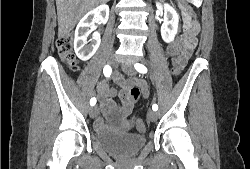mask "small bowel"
Masks as SVG:
<instances>
[{
  "label": "small bowel",
  "instance_id": "small-bowel-1",
  "mask_svg": "<svg viewBox=\"0 0 250 169\" xmlns=\"http://www.w3.org/2000/svg\"><path fill=\"white\" fill-rule=\"evenodd\" d=\"M198 28L199 25L196 21H189L188 32L184 36V39L167 47L165 54L167 57L172 58L173 67H181L182 70L190 59L192 51L196 45L195 35ZM191 36L194 38V42L191 41ZM112 79L118 88V92L108 85L107 79H101L97 86L98 100L102 105H105L109 110H112L115 107L114 97L116 95L118 96L122 102L121 116L124 119L121 129L127 132L137 124L136 118L132 116L134 102L130 98V90L133 87H138L142 95L146 97L149 94V87L143 79L138 77H131L126 80L119 74H114ZM94 126L97 131H102L104 129V120L98 118L95 121Z\"/></svg>",
  "mask_w": 250,
  "mask_h": 169
}]
</instances>
